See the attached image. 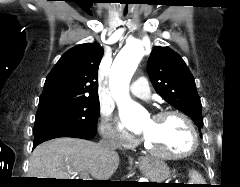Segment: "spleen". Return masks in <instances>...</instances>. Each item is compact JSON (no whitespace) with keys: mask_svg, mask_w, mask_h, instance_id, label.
<instances>
[{"mask_svg":"<svg viewBox=\"0 0 240 187\" xmlns=\"http://www.w3.org/2000/svg\"><path fill=\"white\" fill-rule=\"evenodd\" d=\"M189 176H190V181L192 182V184H204L205 183V181L203 180L201 175L198 172H196L195 170L190 171Z\"/></svg>","mask_w":240,"mask_h":187,"instance_id":"obj_1","label":"spleen"}]
</instances>
